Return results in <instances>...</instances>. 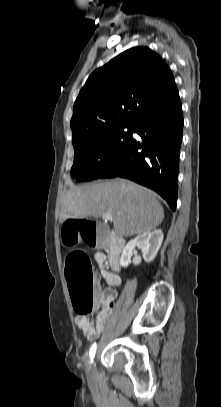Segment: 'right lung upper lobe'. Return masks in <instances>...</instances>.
<instances>
[{
	"instance_id": "cb5924a9",
	"label": "right lung upper lobe",
	"mask_w": 221,
	"mask_h": 407,
	"mask_svg": "<svg viewBox=\"0 0 221 407\" xmlns=\"http://www.w3.org/2000/svg\"><path fill=\"white\" fill-rule=\"evenodd\" d=\"M176 89L170 68L148 47L124 51L95 70L81 89L70 126L73 144L116 126L135 124Z\"/></svg>"
}]
</instances>
